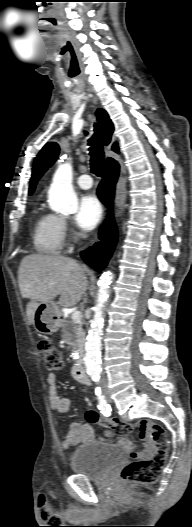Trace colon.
Segmentation results:
<instances>
[{"instance_id": "1", "label": "colon", "mask_w": 192, "mask_h": 527, "mask_svg": "<svg viewBox=\"0 0 192 527\" xmlns=\"http://www.w3.org/2000/svg\"><path fill=\"white\" fill-rule=\"evenodd\" d=\"M38 348L44 357L48 370L55 372L63 370L64 361L52 342L41 340ZM86 417L89 422L109 428L119 435L130 433L134 427V425L116 418L103 417L94 410H89ZM135 426L148 431L154 445V453L148 459H134L126 464L121 471V480L125 483H154L159 478L166 463L169 449L168 436L164 428L156 423L141 421Z\"/></svg>"}]
</instances>
